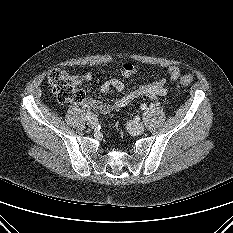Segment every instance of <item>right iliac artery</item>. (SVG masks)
<instances>
[{
	"label": "right iliac artery",
	"mask_w": 233,
	"mask_h": 233,
	"mask_svg": "<svg viewBox=\"0 0 233 233\" xmlns=\"http://www.w3.org/2000/svg\"><path fill=\"white\" fill-rule=\"evenodd\" d=\"M93 116L92 112H87V114L85 115V120H90Z\"/></svg>",
	"instance_id": "82829eb1"
}]
</instances>
